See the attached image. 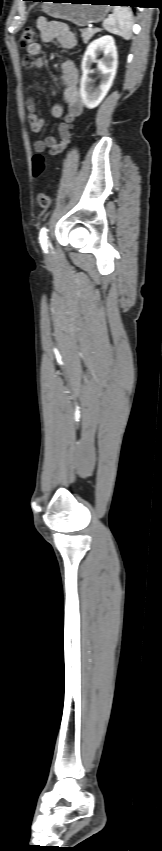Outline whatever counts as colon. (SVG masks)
<instances>
[{
    "label": "colon",
    "mask_w": 162,
    "mask_h": 851,
    "mask_svg": "<svg viewBox=\"0 0 162 851\" xmlns=\"http://www.w3.org/2000/svg\"><path fill=\"white\" fill-rule=\"evenodd\" d=\"M37 41V32L32 27H25L21 33L19 44L23 48H28ZM32 171L35 178H40L45 171V159L41 154H35L32 161ZM37 205L42 209H47L50 206V197L46 192H40L37 195Z\"/></svg>",
    "instance_id": "obj_1"
}]
</instances>
